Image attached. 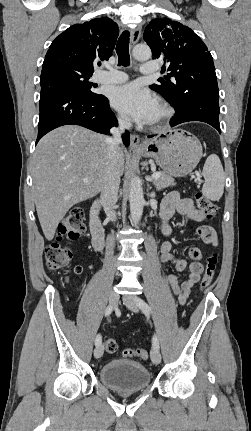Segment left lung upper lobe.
<instances>
[{"instance_id":"obj_1","label":"left lung upper lobe","mask_w":251,"mask_h":431,"mask_svg":"<svg viewBox=\"0 0 251 431\" xmlns=\"http://www.w3.org/2000/svg\"><path fill=\"white\" fill-rule=\"evenodd\" d=\"M144 39L152 50V58L164 60L170 72L150 88L174 109L195 95L219 96L212 56L189 27L168 18H156L145 28Z\"/></svg>"}]
</instances>
